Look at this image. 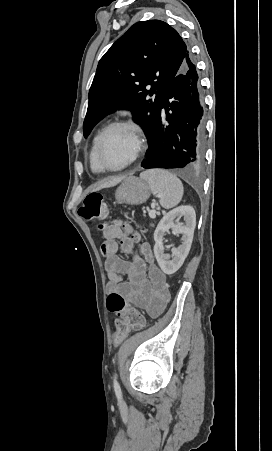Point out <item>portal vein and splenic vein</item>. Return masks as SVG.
<instances>
[{"mask_svg":"<svg viewBox=\"0 0 272 451\" xmlns=\"http://www.w3.org/2000/svg\"><path fill=\"white\" fill-rule=\"evenodd\" d=\"M158 198H161V196H158ZM155 214H156L155 210H149L150 218H156Z\"/></svg>","mask_w":272,"mask_h":451,"instance_id":"portal-vein-and-splenic-vein-1","label":"portal vein and splenic vein"}]
</instances>
